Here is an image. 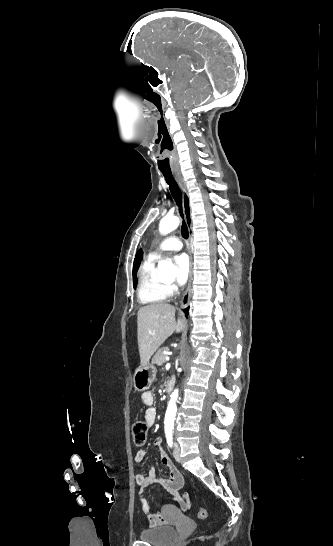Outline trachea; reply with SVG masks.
I'll list each match as a JSON object with an SVG mask.
<instances>
[{
    "label": "trachea",
    "instance_id": "trachea-1",
    "mask_svg": "<svg viewBox=\"0 0 333 546\" xmlns=\"http://www.w3.org/2000/svg\"><path fill=\"white\" fill-rule=\"evenodd\" d=\"M167 184L169 185V189L171 191V194L173 198L176 201V204L179 207V213L182 218L183 217V211H182V194L181 191L176 183V181L173 178V175L171 173L162 172ZM181 234L185 239H188L189 232L188 227L183 219L182 226H181Z\"/></svg>",
    "mask_w": 333,
    "mask_h": 546
}]
</instances>
